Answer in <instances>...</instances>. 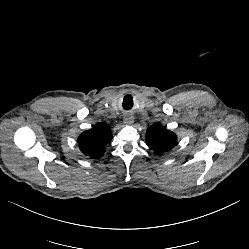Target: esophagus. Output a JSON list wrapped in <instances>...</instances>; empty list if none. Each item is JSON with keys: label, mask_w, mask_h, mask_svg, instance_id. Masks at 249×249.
<instances>
[{"label": "esophagus", "mask_w": 249, "mask_h": 249, "mask_svg": "<svg viewBox=\"0 0 249 249\" xmlns=\"http://www.w3.org/2000/svg\"><path fill=\"white\" fill-rule=\"evenodd\" d=\"M123 121L126 125H132L134 123V116L131 113L125 114Z\"/></svg>", "instance_id": "1"}]
</instances>
